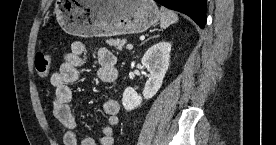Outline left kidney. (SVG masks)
I'll return each instance as SVG.
<instances>
[{"label": "left kidney", "mask_w": 276, "mask_h": 145, "mask_svg": "<svg viewBox=\"0 0 276 145\" xmlns=\"http://www.w3.org/2000/svg\"><path fill=\"white\" fill-rule=\"evenodd\" d=\"M170 52L171 44L162 41L151 46L142 57V66L150 73L143 90L144 99H151L161 88L169 67ZM142 99L135 89L127 87L123 93L122 104L127 111H131L141 105Z\"/></svg>", "instance_id": "obj_1"}]
</instances>
